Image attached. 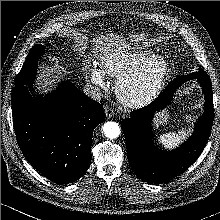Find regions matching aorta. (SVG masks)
Returning a JSON list of instances; mask_svg holds the SVG:
<instances>
[{
	"label": "aorta",
	"instance_id": "762f6f07",
	"mask_svg": "<svg viewBox=\"0 0 220 220\" xmlns=\"http://www.w3.org/2000/svg\"><path fill=\"white\" fill-rule=\"evenodd\" d=\"M103 131L107 138L109 139H115L120 135V128L119 125L116 122H106L103 125Z\"/></svg>",
	"mask_w": 220,
	"mask_h": 220
}]
</instances>
